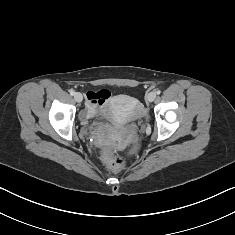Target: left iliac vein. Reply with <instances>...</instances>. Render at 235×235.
Returning a JSON list of instances; mask_svg holds the SVG:
<instances>
[{
    "instance_id": "4c4485c4",
    "label": "left iliac vein",
    "mask_w": 235,
    "mask_h": 235,
    "mask_svg": "<svg viewBox=\"0 0 235 235\" xmlns=\"http://www.w3.org/2000/svg\"><path fill=\"white\" fill-rule=\"evenodd\" d=\"M155 98H156V93L155 92H150L148 95H147V100L149 101V102H152V101H154L155 100Z\"/></svg>"
}]
</instances>
